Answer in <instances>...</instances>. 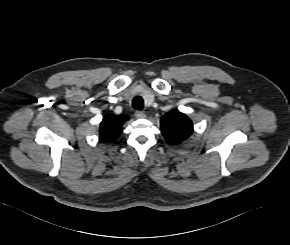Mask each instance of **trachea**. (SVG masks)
<instances>
[{
  "instance_id": "3493384b",
  "label": "trachea",
  "mask_w": 290,
  "mask_h": 245,
  "mask_svg": "<svg viewBox=\"0 0 290 245\" xmlns=\"http://www.w3.org/2000/svg\"><path fill=\"white\" fill-rule=\"evenodd\" d=\"M132 106L136 110H142L143 109V99L140 96H136L132 101Z\"/></svg>"
}]
</instances>
